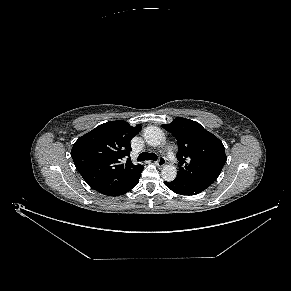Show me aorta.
Listing matches in <instances>:
<instances>
[{
    "mask_svg": "<svg viewBox=\"0 0 291 291\" xmlns=\"http://www.w3.org/2000/svg\"><path fill=\"white\" fill-rule=\"evenodd\" d=\"M143 137L150 146L161 145L165 140L162 130L155 126L146 127L143 131ZM161 175L165 181H173L177 176L176 166L172 164L165 165L161 170Z\"/></svg>",
    "mask_w": 291,
    "mask_h": 291,
    "instance_id": "aorta-1",
    "label": "aorta"
}]
</instances>
